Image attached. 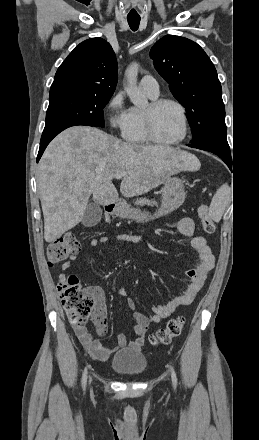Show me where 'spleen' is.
Here are the masks:
<instances>
[{
	"instance_id": "1",
	"label": "spleen",
	"mask_w": 259,
	"mask_h": 440,
	"mask_svg": "<svg viewBox=\"0 0 259 440\" xmlns=\"http://www.w3.org/2000/svg\"><path fill=\"white\" fill-rule=\"evenodd\" d=\"M230 198L231 190L225 183L217 190L210 204L209 214L213 221L219 222L221 220Z\"/></svg>"
}]
</instances>
